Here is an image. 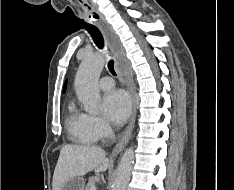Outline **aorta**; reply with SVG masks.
<instances>
[{
    "label": "aorta",
    "instance_id": "aorta-1",
    "mask_svg": "<svg viewBox=\"0 0 234 190\" xmlns=\"http://www.w3.org/2000/svg\"><path fill=\"white\" fill-rule=\"evenodd\" d=\"M105 60L100 53L86 55L75 77V88L86 112L97 113L101 103L98 80ZM134 163V150L127 149L121 157L112 190H126Z\"/></svg>",
    "mask_w": 234,
    "mask_h": 190
}]
</instances>
